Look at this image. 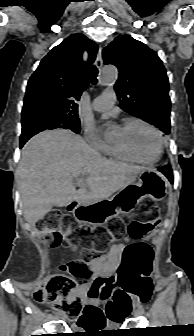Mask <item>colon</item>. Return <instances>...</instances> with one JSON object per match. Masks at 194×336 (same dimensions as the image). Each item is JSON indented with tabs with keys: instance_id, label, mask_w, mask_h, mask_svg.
Returning <instances> with one entry per match:
<instances>
[{
	"instance_id": "obj_1",
	"label": "colon",
	"mask_w": 194,
	"mask_h": 336,
	"mask_svg": "<svg viewBox=\"0 0 194 336\" xmlns=\"http://www.w3.org/2000/svg\"><path fill=\"white\" fill-rule=\"evenodd\" d=\"M144 206V215L149 219L133 220L127 227L129 236L135 240L148 235L158 224V208L152 203H145ZM71 224L70 218L60 212L49 213L39 223L40 231L50 246L58 247L63 241L74 247L82 246L83 260L62 265L61 268L67 273L52 275L42 287L34 290L33 299L41 304H53L70 320H78L84 309L77 294L78 279L90 275L89 263L105 251L108 239L102 234L95 241L83 239L73 231ZM113 225L117 232L119 223L114 222ZM150 254L145 246L128 245L123 254L117 281L110 278L104 283V294L114 299L108 304L109 316L113 321L122 319L131 310L134 297L145 301L148 292L143 288L137 289V275L149 271ZM90 295L97 297L102 294L92 290Z\"/></svg>"
}]
</instances>
